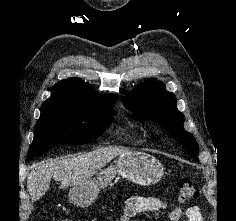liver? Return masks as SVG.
<instances>
[{
    "label": "liver",
    "instance_id": "1",
    "mask_svg": "<svg viewBox=\"0 0 236 221\" xmlns=\"http://www.w3.org/2000/svg\"><path fill=\"white\" fill-rule=\"evenodd\" d=\"M127 151L109 146L78 155L42 161L33 165L27 177V189L32 201L40 199L49 190L50 181H60V188L74 186L89 180L113 158Z\"/></svg>",
    "mask_w": 236,
    "mask_h": 221
}]
</instances>
